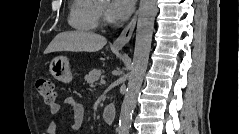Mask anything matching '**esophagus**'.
I'll return each instance as SVG.
<instances>
[{"mask_svg": "<svg viewBox=\"0 0 239 134\" xmlns=\"http://www.w3.org/2000/svg\"><path fill=\"white\" fill-rule=\"evenodd\" d=\"M137 21V12L129 24L123 29L119 37L113 42V47L122 49L131 39Z\"/></svg>", "mask_w": 239, "mask_h": 134, "instance_id": "obj_1", "label": "esophagus"}]
</instances>
